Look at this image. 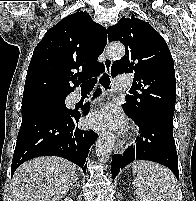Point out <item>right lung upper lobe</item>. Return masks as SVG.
Instances as JSON below:
<instances>
[{"mask_svg":"<svg viewBox=\"0 0 196 201\" xmlns=\"http://www.w3.org/2000/svg\"><path fill=\"white\" fill-rule=\"evenodd\" d=\"M106 43V28L95 23L86 11L65 17L34 49L23 98L39 94L67 96L80 82L104 70L97 59Z\"/></svg>","mask_w":196,"mask_h":201,"instance_id":"cb5924a9","label":"right lung upper lobe"}]
</instances>
